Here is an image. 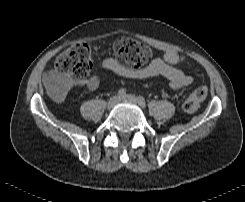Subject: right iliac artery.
<instances>
[{"label":"right iliac artery","mask_w":245,"mask_h":202,"mask_svg":"<svg viewBox=\"0 0 245 202\" xmlns=\"http://www.w3.org/2000/svg\"><path fill=\"white\" fill-rule=\"evenodd\" d=\"M126 95V89L125 88H121L119 91H118V96L121 98L123 96Z\"/></svg>","instance_id":"right-iliac-artery-1"}]
</instances>
